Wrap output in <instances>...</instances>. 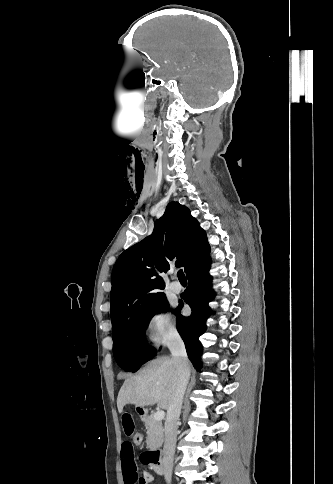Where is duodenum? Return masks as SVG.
Here are the masks:
<instances>
[{
  "label": "duodenum",
  "instance_id": "410a0bca",
  "mask_svg": "<svg viewBox=\"0 0 333 484\" xmlns=\"http://www.w3.org/2000/svg\"><path fill=\"white\" fill-rule=\"evenodd\" d=\"M148 457L152 462L154 471L159 475H163L164 472H165V468H164L163 461L161 459L160 450H154V451L150 452Z\"/></svg>",
  "mask_w": 333,
  "mask_h": 484
}]
</instances>
